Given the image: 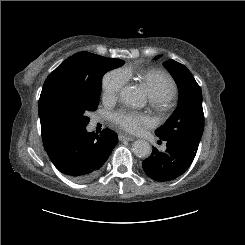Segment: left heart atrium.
<instances>
[{"label":"left heart atrium","mask_w":245,"mask_h":245,"mask_svg":"<svg viewBox=\"0 0 245 245\" xmlns=\"http://www.w3.org/2000/svg\"><path fill=\"white\" fill-rule=\"evenodd\" d=\"M112 122L129 133H137L142 126H147L149 120L146 116L121 109L112 115Z\"/></svg>","instance_id":"39dd6f15"}]
</instances>
